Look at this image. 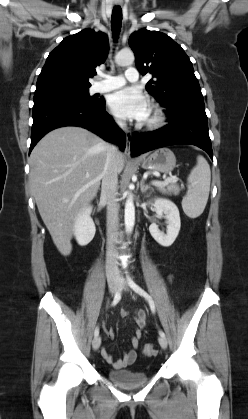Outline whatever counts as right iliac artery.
<instances>
[{"mask_svg":"<svg viewBox=\"0 0 248 419\" xmlns=\"http://www.w3.org/2000/svg\"><path fill=\"white\" fill-rule=\"evenodd\" d=\"M122 282V281H121ZM121 290H122V288H121V285H120V287H119V289H118V291L116 292V294H115V296H114V299H113V301H112V304H111V306H115L119 301H120V299H121ZM99 335V328L98 327H96V329H95V331H94V336L96 337V336H98Z\"/></svg>","mask_w":248,"mask_h":419,"instance_id":"82829eb1","label":"right iliac artery"}]
</instances>
